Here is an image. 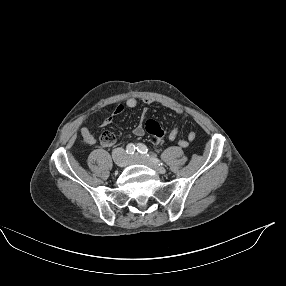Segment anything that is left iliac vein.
Masks as SVG:
<instances>
[{
	"mask_svg": "<svg viewBox=\"0 0 286 286\" xmlns=\"http://www.w3.org/2000/svg\"><path fill=\"white\" fill-rule=\"evenodd\" d=\"M130 163L132 164H144L153 170H155L159 174H165L166 170L159 164L154 163L150 158L145 155H141L136 153L135 155L131 156Z\"/></svg>",
	"mask_w": 286,
	"mask_h": 286,
	"instance_id": "4c4485c4",
	"label": "left iliac vein"
}]
</instances>
